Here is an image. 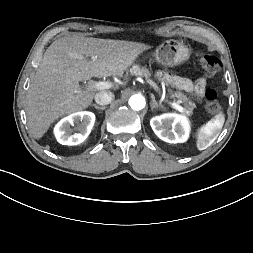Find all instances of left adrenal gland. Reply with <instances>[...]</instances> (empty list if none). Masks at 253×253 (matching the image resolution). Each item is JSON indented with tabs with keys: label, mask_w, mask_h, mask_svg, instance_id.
<instances>
[{
	"label": "left adrenal gland",
	"mask_w": 253,
	"mask_h": 253,
	"mask_svg": "<svg viewBox=\"0 0 253 253\" xmlns=\"http://www.w3.org/2000/svg\"><path fill=\"white\" fill-rule=\"evenodd\" d=\"M151 110L153 111L155 108L160 107V105L155 100V96L151 94V102H150Z\"/></svg>",
	"instance_id": "left-adrenal-gland-1"
}]
</instances>
